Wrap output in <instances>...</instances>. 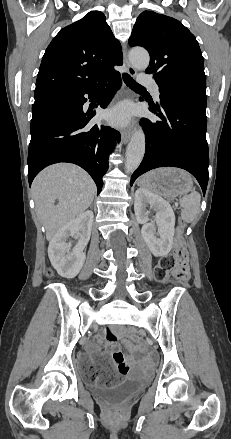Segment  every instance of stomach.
Wrapping results in <instances>:
<instances>
[{
	"label": "stomach",
	"instance_id": "stomach-1",
	"mask_svg": "<svg viewBox=\"0 0 231 439\" xmlns=\"http://www.w3.org/2000/svg\"><path fill=\"white\" fill-rule=\"evenodd\" d=\"M140 184L167 198L186 195L193 188V180L187 172L170 167L145 174Z\"/></svg>",
	"mask_w": 231,
	"mask_h": 439
}]
</instances>
